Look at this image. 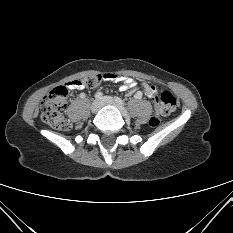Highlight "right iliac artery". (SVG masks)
<instances>
[{
    "mask_svg": "<svg viewBox=\"0 0 233 233\" xmlns=\"http://www.w3.org/2000/svg\"><path fill=\"white\" fill-rule=\"evenodd\" d=\"M103 97V93L102 92H97L96 94H95V99H101Z\"/></svg>",
    "mask_w": 233,
    "mask_h": 233,
    "instance_id": "1",
    "label": "right iliac artery"
}]
</instances>
